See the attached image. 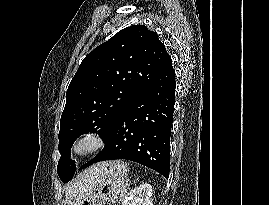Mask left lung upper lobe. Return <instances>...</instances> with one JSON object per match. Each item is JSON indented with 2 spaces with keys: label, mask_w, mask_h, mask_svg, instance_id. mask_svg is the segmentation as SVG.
Instances as JSON below:
<instances>
[{
  "label": "left lung upper lobe",
  "mask_w": 269,
  "mask_h": 205,
  "mask_svg": "<svg viewBox=\"0 0 269 205\" xmlns=\"http://www.w3.org/2000/svg\"><path fill=\"white\" fill-rule=\"evenodd\" d=\"M169 55L145 25L122 29L82 61L70 82L61 116L57 166L67 183L76 171L70 149L82 134L105 138L119 116L163 69Z\"/></svg>",
  "instance_id": "left-lung-upper-lobe-1"
}]
</instances>
